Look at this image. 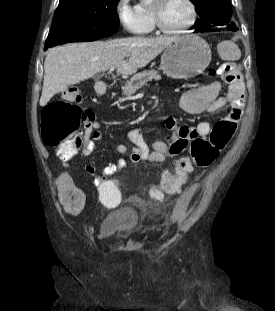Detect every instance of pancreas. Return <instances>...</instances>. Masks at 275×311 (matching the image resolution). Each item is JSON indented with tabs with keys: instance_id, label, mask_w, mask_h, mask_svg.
<instances>
[{
	"instance_id": "obj_1",
	"label": "pancreas",
	"mask_w": 275,
	"mask_h": 311,
	"mask_svg": "<svg viewBox=\"0 0 275 311\" xmlns=\"http://www.w3.org/2000/svg\"><path fill=\"white\" fill-rule=\"evenodd\" d=\"M161 76L156 70L143 71L134 75L129 81H127L123 87V96H131L136 93L138 89L152 80H160Z\"/></svg>"
}]
</instances>
